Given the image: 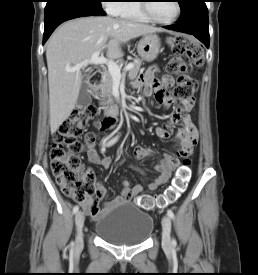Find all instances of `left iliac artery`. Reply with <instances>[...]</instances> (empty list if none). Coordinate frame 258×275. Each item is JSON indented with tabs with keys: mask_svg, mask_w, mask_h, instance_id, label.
<instances>
[{
	"mask_svg": "<svg viewBox=\"0 0 258 275\" xmlns=\"http://www.w3.org/2000/svg\"><path fill=\"white\" fill-rule=\"evenodd\" d=\"M167 215H168L171 219H174V217H175L173 211L170 210V209L167 210ZM172 245H173V246H176V240H175V239L172 240Z\"/></svg>",
	"mask_w": 258,
	"mask_h": 275,
	"instance_id": "obj_1",
	"label": "left iliac artery"
}]
</instances>
